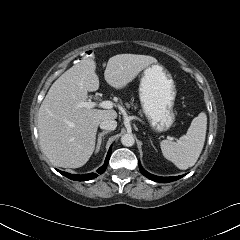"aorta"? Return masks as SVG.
<instances>
[{
    "instance_id": "762f6f07",
    "label": "aorta",
    "mask_w": 240,
    "mask_h": 240,
    "mask_svg": "<svg viewBox=\"0 0 240 240\" xmlns=\"http://www.w3.org/2000/svg\"><path fill=\"white\" fill-rule=\"evenodd\" d=\"M121 143L126 146V147H131L134 145L135 143V139H134V136L132 134H124L122 137H121Z\"/></svg>"
}]
</instances>
